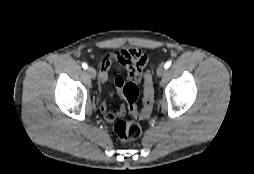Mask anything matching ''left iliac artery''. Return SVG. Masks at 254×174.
Instances as JSON below:
<instances>
[{
  "label": "left iliac artery",
  "mask_w": 254,
  "mask_h": 174,
  "mask_svg": "<svg viewBox=\"0 0 254 174\" xmlns=\"http://www.w3.org/2000/svg\"><path fill=\"white\" fill-rule=\"evenodd\" d=\"M171 66V61H167L164 65L165 69H168Z\"/></svg>",
  "instance_id": "1"
}]
</instances>
